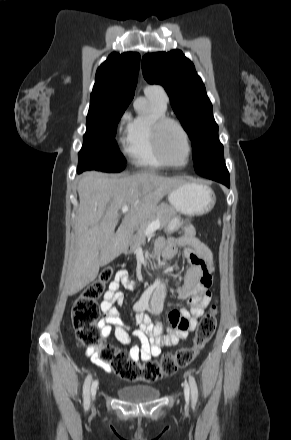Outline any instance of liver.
I'll list each match as a JSON object with an SVG mask.
<instances>
[{"instance_id": "1", "label": "liver", "mask_w": 291, "mask_h": 440, "mask_svg": "<svg viewBox=\"0 0 291 440\" xmlns=\"http://www.w3.org/2000/svg\"><path fill=\"white\" fill-rule=\"evenodd\" d=\"M183 182L180 178L144 171L131 176L107 177L90 171L78 183L76 258L69 294L95 280L99 269L124 251L134 230L154 212L159 201ZM130 207L115 233L118 211Z\"/></svg>"}]
</instances>
